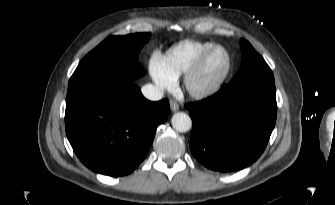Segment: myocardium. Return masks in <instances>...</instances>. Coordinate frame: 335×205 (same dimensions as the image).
Here are the masks:
<instances>
[{
	"label": "myocardium",
	"instance_id": "myocardium-1",
	"mask_svg": "<svg viewBox=\"0 0 335 205\" xmlns=\"http://www.w3.org/2000/svg\"><path fill=\"white\" fill-rule=\"evenodd\" d=\"M221 50L226 55V67L220 77L213 82L211 85L207 87H197L195 82L197 77L200 75L201 71L203 70L206 61L208 58L216 51ZM232 69V57L230 52L222 45H214L207 50H205L194 62L191 68L186 72L184 76V87L187 93L199 100L207 99L214 94H216L223 84L225 83L226 79L228 78Z\"/></svg>",
	"mask_w": 335,
	"mask_h": 205
}]
</instances>
